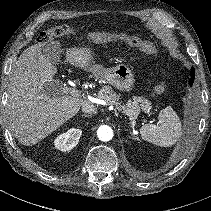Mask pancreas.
<instances>
[{"label": "pancreas", "instance_id": "cf45deb5", "mask_svg": "<svg viewBox=\"0 0 211 211\" xmlns=\"http://www.w3.org/2000/svg\"><path fill=\"white\" fill-rule=\"evenodd\" d=\"M98 97L105 100L108 104L115 106V115L118 116V112H122L127 115L132 121L140 114L141 108L146 109V105L150 103L141 97H134L132 100H128L127 104H121L119 95L113 92L109 86H103L99 92ZM141 103V105L139 104Z\"/></svg>", "mask_w": 211, "mask_h": 211}]
</instances>
